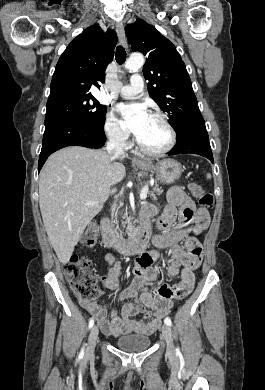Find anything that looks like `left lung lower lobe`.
<instances>
[{"instance_id":"0a47b994","label":"left lung lower lobe","mask_w":265,"mask_h":390,"mask_svg":"<svg viewBox=\"0 0 265 390\" xmlns=\"http://www.w3.org/2000/svg\"><path fill=\"white\" fill-rule=\"evenodd\" d=\"M181 153H194L214 161L208 133L202 116L196 119L189 127L188 131L177 139L176 145L168 153L169 155Z\"/></svg>"}]
</instances>
